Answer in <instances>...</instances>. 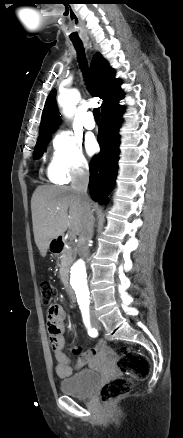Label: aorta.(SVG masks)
<instances>
[{
	"mask_svg": "<svg viewBox=\"0 0 183 438\" xmlns=\"http://www.w3.org/2000/svg\"><path fill=\"white\" fill-rule=\"evenodd\" d=\"M79 100V92L76 89L63 90L59 96V102L66 116L74 114ZM70 287L74 291L80 306L88 304L90 300V287L85 262L78 260L71 269Z\"/></svg>",
	"mask_w": 183,
	"mask_h": 438,
	"instance_id": "762f6f07",
	"label": "aorta"
}]
</instances>
